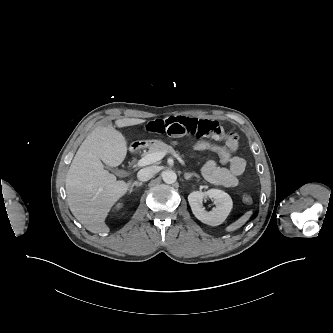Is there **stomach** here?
<instances>
[{"mask_svg":"<svg viewBox=\"0 0 333 333\" xmlns=\"http://www.w3.org/2000/svg\"><path fill=\"white\" fill-rule=\"evenodd\" d=\"M151 143H152V141H149V142H148V144H151Z\"/></svg>","mask_w":333,"mask_h":333,"instance_id":"0dacf381","label":"stomach"}]
</instances>
